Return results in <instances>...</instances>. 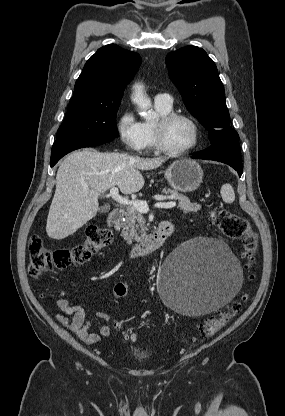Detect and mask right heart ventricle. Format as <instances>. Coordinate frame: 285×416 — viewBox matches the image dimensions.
I'll use <instances>...</instances> for the list:
<instances>
[{
  "label": "right heart ventricle",
  "instance_id": "obj_1",
  "mask_svg": "<svg viewBox=\"0 0 285 416\" xmlns=\"http://www.w3.org/2000/svg\"><path fill=\"white\" fill-rule=\"evenodd\" d=\"M156 108L158 113L161 115L171 112L172 107L165 106L161 103L156 102ZM155 121H144L142 122L143 130L146 137V148L148 149H155V142H154V126Z\"/></svg>",
  "mask_w": 285,
  "mask_h": 416
}]
</instances>
